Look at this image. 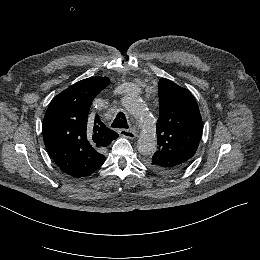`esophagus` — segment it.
<instances>
[{"instance_id": "esophagus-1", "label": "esophagus", "mask_w": 260, "mask_h": 260, "mask_svg": "<svg viewBox=\"0 0 260 260\" xmlns=\"http://www.w3.org/2000/svg\"><path fill=\"white\" fill-rule=\"evenodd\" d=\"M119 134L122 135L123 137L128 138V139H135L136 138L135 132H133L132 130H128V129H121L119 131Z\"/></svg>"}]
</instances>
